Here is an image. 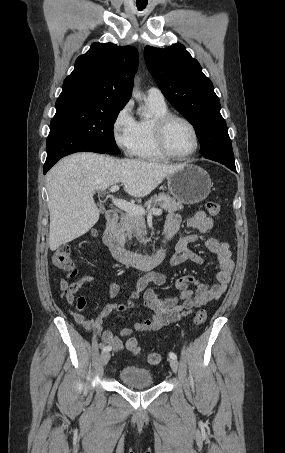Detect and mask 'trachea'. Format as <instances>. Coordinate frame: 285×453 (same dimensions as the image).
I'll return each instance as SVG.
<instances>
[{"mask_svg":"<svg viewBox=\"0 0 285 453\" xmlns=\"http://www.w3.org/2000/svg\"><path fill=\"white\" fill-rule=\"evenodd\" d=\"M143 0H137L136 5L138 10H143L147 6V2H142Z\"/></svg>","mask_w":285,"mask_h":453,"instance_id":"1","label":"trachea"}]
</instances>
